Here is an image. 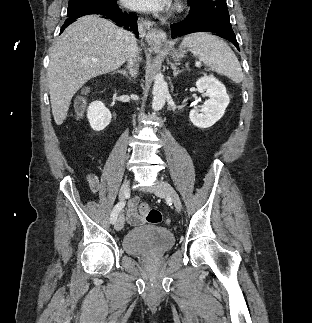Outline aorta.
<instances>
[{
	"mask_svg": "<svg viewBox=\"0 0 312 323\" xmlns=\"http://www.w3.org/2000/svg\"><path fill=\"white\" fill-rule=\"evenodd\" d=\"M167 82L162 76H155L153 84L152 110H162L165 106L166 98H169Z\"/></svg>",
	"mask_w": 312,
	"mask_h": 323,
	"instance_id": "aorta-1",
	"label": "aorta"
}]
</instances>
